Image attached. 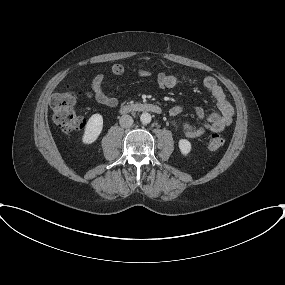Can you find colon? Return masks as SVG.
Instances as JSON below:
<instances>
[{"instance_id": "5ec220e1", "label": "colon", "mask_w": 285, "mask_h": 285, "mask_svg": "<svg viewBox=\"0 0 285 285\" xmlns=\"http://www.w3.org/2000/svg\"><path fill=\"white\" fill-rule=\"evenodd\" d=\"M115 74H122L123 67L116 66L113 69ZM77 93L70 87L62 93L54 94L50 99V106L53 111L55 124L66 134H72L83 129L85 120L74 109ZM224 145V139L219 134H212L208 141V146L212 150H217Z\"/></svg>"}]
</instances>
